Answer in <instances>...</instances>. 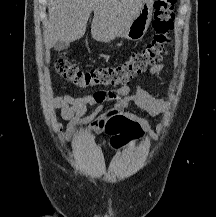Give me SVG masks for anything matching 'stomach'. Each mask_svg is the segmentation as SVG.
<instances>
[{"label": "stomach", "instance_id": "obj_1", "mask_svg": "<svg viewBox=\"0 0 216 217\" xmlns=\"http://www.w3.org/2000/svg\"><path fill=\"white\" fill-rule=\"evenodd\" d=\"M154 0H143L135 17L130 21L129 25L125 27L119 37L131 41H138L142 39L150 25L152 19Z\"/></svg>", "mask_w": 216, "mask_h": 217}]
</instances>
